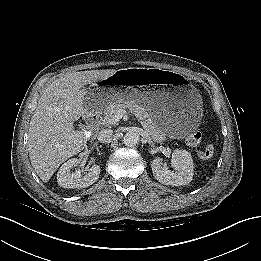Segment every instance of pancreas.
<instances>
[{"instance_id": "obj_1", "label": "pancreas", "mask_w": 261, "mask_h": 261, "mask_svg": "<svg viewBox=\"0 0 261 261\" xmlns=\"http://www.w3.org/2000/svg\"><path fill=\"white\" fill-rule=\"evenodd\" d=\"M118 109H129L141 120L143 128L151 135L152 139L156 142H162L166 139L165 134L155 124V122L147 114L146 110L135 101H114L110 103L104 110V119L102 124L104 126L116 125L117 122L112 121V117Z\"/></svg>"}]
</instances>
